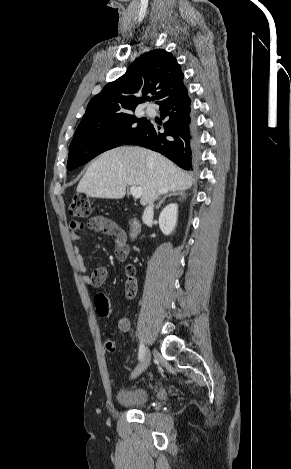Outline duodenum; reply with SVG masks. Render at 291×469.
Wrapping results in <instances>:
<instances>
[{"mask_svg":"<svg viewBox=\"0 0 291 469\" xmlns=\"http://www.w3.org/2000/svg\"><path fill=\"white\" fill-rule=\"evenodd\" d=\"M139 229H140L139 222L136 219H133L130 224V237L132 239H134L137 236Z\"/></svg>","mask_w":291,"mask_h":469,"instance_id":"410a0bca","label":"duodenum"}]
</instances>
